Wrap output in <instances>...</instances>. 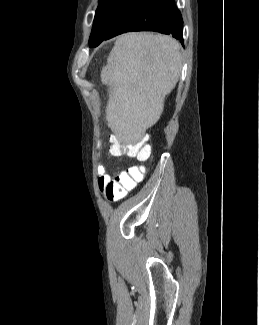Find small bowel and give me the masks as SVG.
Wrapping results in <instances>:
<instances>
[{"instance_id": "1", "label": "small bowel", "mask_w": 259, "mask_h": 325, "mask_svg": "<svg viewBox=\"0 0 259 325\" xmlns=\"http://www.w3.org/2000/svg\"><path fill=\"white\" fill-rule=\"evenodd\" d=\"M140 166H133L131 168H137ZM98 175H99V185L101 186L105 181H107L109 179V175L106 174L105 169L102 165L98 166L97 169Z\"/></svg>"}]
</instances>
